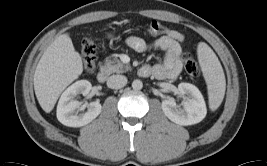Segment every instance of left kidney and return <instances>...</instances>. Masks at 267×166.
<instances>
[{"label":"left kidney","mask_w":267,"mask_h":166,"mask_svg":"<svg viewBox=\"0 0 267 166\" xmlns=\"http://www.w3.org/2000/svg\"><path fill=\"white\" fill-rule=\"evenodd\" d=\"M178 91L181 95H187L188 98L182 102V108L178 107L173 98H167L162 101V110L164 114L178 125H193L202 121L206 114V104L203 95L199 89L190 83H180Z\"/></svg>","instance_id":"obj_1"}]
</instances>
